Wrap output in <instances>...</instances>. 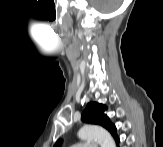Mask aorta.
Instances as JSON below:
<instances>
[{
	"mask_svg": "<svg viewBox=\"0 0 163 147\" xmlns=\"http://www.w3.org/2000/svg\"><path fill=\"white\" fill-rule=\"evenodd\" d=\"M81 140H93L98 142L101 147H115V142L110 133L97 125H84L78 132Z\"/></svg>",
	"mask_w": 163,
	"mask_h": 147,
	"instance_id": "1",
	"label": "aorta"
}]
</instances>
